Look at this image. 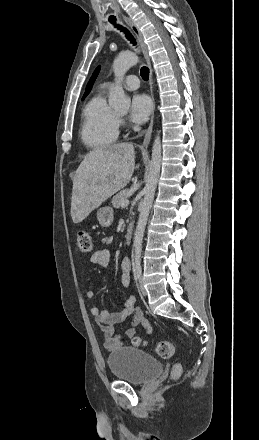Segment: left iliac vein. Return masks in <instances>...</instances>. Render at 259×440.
Instances as JSON below:
<instances>
[{
    "label": "left iliac vein",
    "instance_id": "left-iliac-vein-1",
    "mask_svg": "<svg viewBox=\"0 0 259 440\" xmlns=\"http://www.w3.org/2000/svg\"><path fill=\"white\" fill-rule=\"evenodd\" d=\"M139 287H140V292L142 293V295L146 296V295H147V291H146V289H145V287H144V285H143V281H142V279H140V285H139Z\"/></svg>",
    "mask_w": 259,
    "mask_h": 440
}]
</instances>
